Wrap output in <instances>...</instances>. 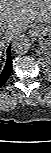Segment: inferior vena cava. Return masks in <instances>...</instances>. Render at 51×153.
Returning a JSON list of instances; mask_svg holds the SVG:
<instances>
[{
	"label": "inferior vena cava",
	"mask_w": 51,
	"mask_h": 153,
	"mask_svg": "<svg viewBox=\"0 0 51 153\" xmlns=\"http://www.w3.org/2000/svg\"><path fill=\"white\" fill-rule=\"evenodd\" d=\"M7 42H8V39H7L6 34L1 33V34H0V45H1V46H4V45L7 44Z\"/></svg>",
	"instance_id": "obj_1"
}]
</instances>
